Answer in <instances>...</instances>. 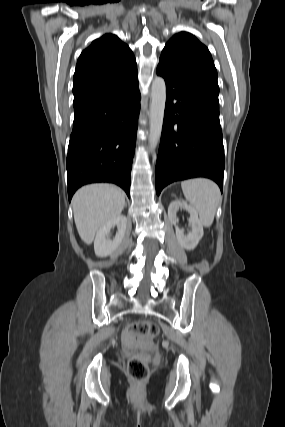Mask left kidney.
<instances>
[{"label":"left kidney","instance_id":"1","mask_svg":"<svg viewBox=\"0 0 285 427\" xmlns=\"http://www.w3.org/2000/svg\"><path fill=\"white\" fill-rule=\"evenodd\" d=\"M179 209H184L190 214L189 224L191 231L185 235L184 230L176 226L178 222L177 212ZM169 221L176 227V238L178 243L186 250H193L203 237V225L198 218L197 212L186 202L175 200L168 207Z\"/></svg>","mask_w":285,"mask_h":427}]
</instances>
